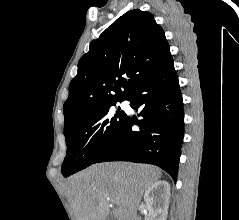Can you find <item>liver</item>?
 <instances>
[{"label": "liver", "instance_id": "obj_1", "mask_svg": "<svg viewBox=\"0 0 239 220\" xmlns=\"http://www.w3.org/2000/svg\"><path fill=\"white\" fill-rule=\"evenodd\" d=\"M161 177L151 165L126 162L93 164L64 185L76 220H135L144 192ZM116 208L110 210V205Z\"/></svg>", "mask_w": 239, "mask_h": 220}]
</instances>
